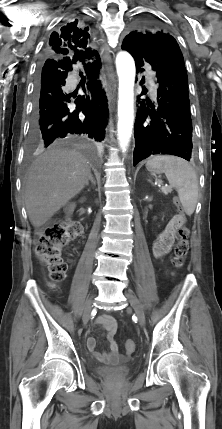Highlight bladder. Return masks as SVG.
<instances>
[{
	"mask_svg": "<svg viewBox=\"0 0 222 429\" xmlns=\"http://www.w3.org/2000/svg\"><path fill=\"white\" fill-rule=\"evenodd\" d=\"M131 369V365L119 367L96 366L94 371L102 378L117 380L126 378L130 374Z\"/></svg>",
	"mask_w": 222,
	"mask_h": 429,
	"instance_id": "1",
	"label": "bladder"
}]
</instances>
